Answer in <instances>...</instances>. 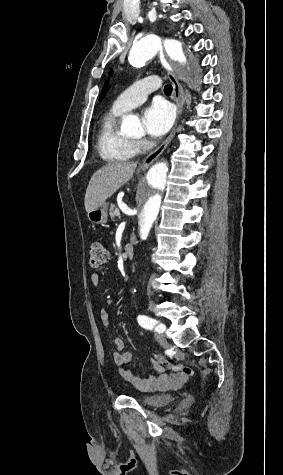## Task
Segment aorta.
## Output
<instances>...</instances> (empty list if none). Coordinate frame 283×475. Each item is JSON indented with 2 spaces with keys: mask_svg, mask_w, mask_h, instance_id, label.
<instances>
[{
  "mask_svg": "<svg viewBox=\"0 0 283 475\" xmlns=\"http://www.w3.org/2000/svg\"><path fill=\"white\" fill-rule=\"evenodd\" d=\"M165 48L172 61L178 63L186 72L191 73V66L186 58L182 45L177 40L162 41L156 35H148L136 42L129 53V62L134 67L143 66L158 52ZM121 130L133 135L142 130L140 120L135 115L123 116ZM171 162L160 161L154 164L137 185L134 197V216L138 236L146 240L153 228L158 224L165 208V201L173 178Z\"/></svg>",
  "mask_w": 283,
  "mask_h": 475,
  "instance_id": "aorta-1",
  "label": "aorta"
}]
</instances>
